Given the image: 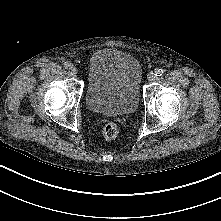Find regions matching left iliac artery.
<instances>
[{
	"label": "left iliac artery",
	"instance_id": "left-iliac-artery-1",
	"mask_svg": "<svg viewBox=\"0 0 221 221\" xmlns=\"http://www.w3.org/2000/svg\"><path fill=\"white\" fill-rule=\"evenodd\" d=\"M163 72H164V70L161 69V68L155 69V75L156 76H162Z\"/></svg>",
	"mask_w": 221,
	"mask_h": 221
}]
</instances>
